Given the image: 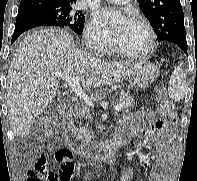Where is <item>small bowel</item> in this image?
<instances>
[{
  "instance_id": "1",
  "label": "small bowel",
  "mask_w": 197,
  "mask_h": 181,
  "mask_svg": "<svg viewBox=\"0 0 197 181\" xmlns=\"http://www.w3.org/2000/svg\"><path fill=\"white\" fill-rule=\"evenodd\" d=\"M129 130L123 128L120 132L127 139L143 140L150 152L156 153L160 159L150 171L149 181H169L171 164L174 160L173 139L175 128L172 123L156 118L149 109H141L134 116L126 118ZM134 167L129 166L121 175L120 181H133Z\"/></svg>"
}]
</instances>
